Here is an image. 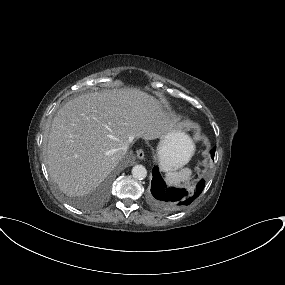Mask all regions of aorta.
<instances>
[{
	"label": "aorta",
	"instance_id": "1",
	"mask_svg": "<svg viewBox=\"0 0 285 285\" xmlns=\"http://www.w3.org/2000/svg\"><path fill=\"white\" fill-rule=\"evenodd\" d=\"M132 176L135 179L143 180L147 176V170L143 165H135L132 168Z\"/></svg>",
	"mask_w": 285,
	"mask_h": 285
}]
</instances>
